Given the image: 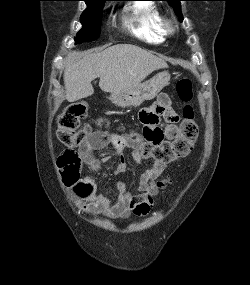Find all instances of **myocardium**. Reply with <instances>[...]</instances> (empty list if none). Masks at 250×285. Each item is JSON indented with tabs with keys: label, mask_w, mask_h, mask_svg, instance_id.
<instances>
[{
	"label": "myocardium",
	"mask_w": 250,
	"mask_h": 285,
	"mask_svg": "<svg viewBox=\"0 0 250 285\" xmlns=\"http://www.w3.org/2000/svg\"><path fill=\"white\" fill-rule=\"evenodd\" d=\"M161 27L165 35L173 34L176 30L175 20L172 18H162Z\"/></svg>",
	"instance_id": "myocardium-1"
}]
</instances>
